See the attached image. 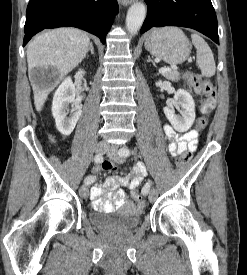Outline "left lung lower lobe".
<instances>
[{
	"label": "left lung lower lobe",
	"instance_id": "left-lung-lower-lobe-1",
	"mask_svg": "<svg viewBox=\"0 0 247 275\" xmlns=\"http://www.w3.org/2000/svg\"><path fill=\"white\" fill-rule=\"evenodd\" d=\"M147 16L141 33L152 27L181 26L195 29L219 44L218 25L211 0H145Z\"/></svg>",
	"mask_w": 247,
	"mask_h": 275
}]
</instances>
